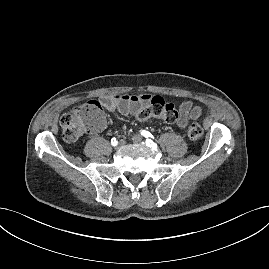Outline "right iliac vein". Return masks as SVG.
Instances as JSON below:
<instances>
[{
  "mask_svg": "<svg viewBox=\"0 0 269 269\" xmlns=\"http://www.w3.org/2000/svg\"><path fill=\"white\" fill-rule=\"evenodd\" d=\"M125 145H126V142L124 140H121L120 142H118L117 144L113 146V150L115 152H118L120 150V147H124Z\"/></svg>",
  "mask_w": 269,
  "mask_h": 269,
  "instance_id": "63e3f726",
  "label": "right iliac vein"
}]
</instances>
